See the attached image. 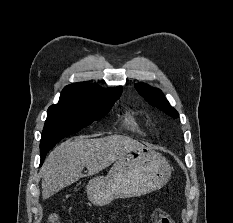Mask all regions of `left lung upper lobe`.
I'll return each mask as SVG.
<instances>
[{
	"instance_id": "obj_1",
	"label": "left lung upper lobe",
	"mask_w": 233,
	"mask_h": 223,
	"mask_svg": "<svg viewBox=\"0 0 233 223\" xmlns=\"http://www.w3.org/2000/svg\"><path fill=\"white\" fill-rule=\"evenodd\" d=\"M135 88L140 95L154 107L164 111L167 115L176 119L179 114L170 106L168 101L165 99L164 94L159 89L150 88L147 84L138 83Z\"/></svg>"
}]
</instances>
